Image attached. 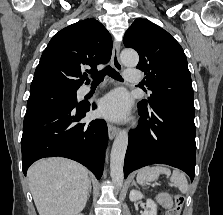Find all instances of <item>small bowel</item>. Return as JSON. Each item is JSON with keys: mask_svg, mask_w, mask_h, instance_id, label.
<instances>
[{"mask_svg": "<svg viewBox=\"0 0 223 215\" xmlns=\"http://www.w3.org/2000/svg\"><path fill=\"white\" fill-rule=\"evenodd\" d=\"M158 203L165 209H171L173 202L171 197L167 193H160L157 196Z\"/></svg>", "mask_w": 223, "mask_h": 215, "instance_id": "obj_1", "label": "small bowel"}]
</instances>
